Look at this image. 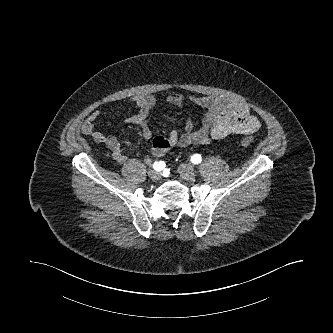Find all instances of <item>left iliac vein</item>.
<instances>
[{"instance_id": "left-iliac-vein-1", "label": "left iliac vein", "mask_w": 333, "mask_h": 333, "mask_svg": "<svg viewBox=\"0 0 333 333\" xmlns=\"http://www.w3.org/2000/svg\"><path fill=\"white\" fill-rule=\"evenodd\" d=\"M178 172L181 177L186 180L192 181L195 179V169L189 164H180L178 167Z\"/></svg>"}]
</instances>
